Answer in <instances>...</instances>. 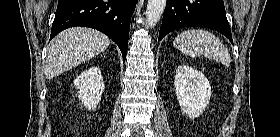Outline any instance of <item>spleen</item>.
I'll return each mask as SVG.
<instances>
[{
	"label": "spleen",
	"instance_id": "1",
	"mask_svg": "<svg viewBox=\"0 0 280 137\" xmlns=\"http://www.w3.org/2000/svg\"><path fill=\"white\" fill-rule=\"evenodd\" d=\"M174 46L190 57L205 56L225 66L231 63L228 49L213 33L202 29H189L180 33Z\"/></svg>",
	"mask_w": 280,
	"mask_h": 137
}]
</instances>
